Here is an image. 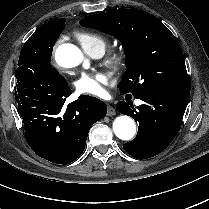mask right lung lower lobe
Segmentation results:
<instances>
[{
	"label": "right lung lower lobe",
	"instance_id": "right-lung-lower-lobe-1",
	"mask_svg": "<svg viewBox=\"0 0 209 209\" xmlns=\"http://www.w3.org/2000/svg\"><path fill=\"white\" fill-rule=\"evenodd\" d=\"M71 93L67 82L34 73L18 78L15 86L28 145L57 164H69L82 154L89 129L107 113L104 102L87 95L64 105Z\"/></svg>",
	"mask_w": 209,
	"mask_h": 209
}]
</instances>
